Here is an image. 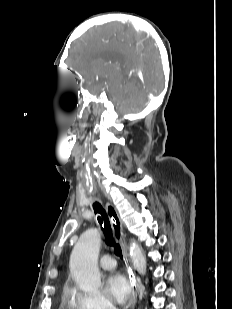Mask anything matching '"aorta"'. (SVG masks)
Segmentation results:
<instances>
[{
	"mask_svg": "<svg viewBox=\"0 0 232 309\" xmlns=\"http://www.w3.org/2000/svg\"><path fill=\"white\" fill-rule=\"evenodd\" d=\"M101 236L97 229H88L79 238L70 258L71 274L77 285L84 291H93L101 285L98 256ZM134 269L146 273V257L142 248L134 241L129 252Z\"/></svg>",
	"mask_w": 232,
	"mask_h": 309,
	"instance_id": "762f6f07",
	"label": "aorta"
}]
</instances>
